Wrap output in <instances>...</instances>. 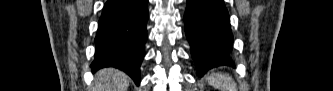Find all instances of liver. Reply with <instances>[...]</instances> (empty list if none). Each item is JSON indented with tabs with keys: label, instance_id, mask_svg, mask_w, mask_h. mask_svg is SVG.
Returning <instances> with one entry per match:
<instances>
[{
	"label": "liver",
	"instance_id": "6515ba94",
	"mask_svg": "<svg viewBox=\"0 0 333 91\" xmlns=\"http://www.w3.org/2000/svg\"><path fill=\"white\" fill-rule=\"evenodd\" d=\"M129 87L128 76L114 68L99 70L94 81L93 91H126Z\"/></svg>",
	"mask_w": 333,
	"mask_h": 91
}]
</instances>
